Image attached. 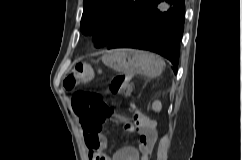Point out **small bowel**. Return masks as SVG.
<instances>
[{
  "label": "small bowel",
  "instance_id": "1",
  "mask_svg": "<svg viewBox=\"0 0 242 160\" xmlns=\"http://www.w3.org/2000/svg\"><path fill=\"white\" fill-rule=\"evenodd\" d=\"M117 120L124 125L127 132L137 134L138 147L126 146L110 155L106 138L101 133L92 135L83 127L89 160H149L157 138L155 123L142 112L133 113V122L120 115ZM91 137L96 139L94 145H91Z\"/></svg>",
  "mask_w": 242,
  "mask_h": 160
}]
</instances>
